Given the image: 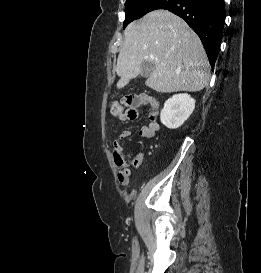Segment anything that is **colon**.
<instances>
[{"mask_svg": "<svg viewBox=\"0 0 261 273\" xmlns=\"http://www.w3.org/2000/svg\"><path fill=\"white\" fill-rule=\"evenodd\" d=\"M140 102V96L126 95L112 102L110 112L115 117L125 115L129 120H133L138 117L139 113L137 107ZM113 157L117 165H122L124 163V156L119 150L114 151Z\"/></svg>", "mask_w": 261, "mask_h": 273, "instance_id": "colon-1", "label": "colon"}]
</instances>
